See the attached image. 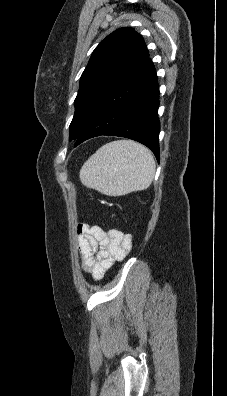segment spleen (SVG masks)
Returning <instances> with one entry per match:
<instances>
[{"mask_svg": "<svg viewBox=\"0 0 227 396\" xmlns=\"http://www.w3.org/2000/svg\"><path fill=\"white\" fill-rule=\"evenodd\" d=\"M150 150L131 140L109 142L99 148L80 170L84 186L110 196L147 189L155 175Z\"/></svg>", "mask_w": 227, "mask_h": 396, "instance_id": "spleen-1", "label": "spleen"}]
</instances>
